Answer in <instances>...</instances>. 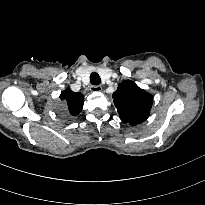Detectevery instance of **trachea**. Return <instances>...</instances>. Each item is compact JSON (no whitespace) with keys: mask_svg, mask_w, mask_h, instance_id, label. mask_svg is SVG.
<instances>
[{"mask_svg":"<svg viewBox=\"0 0 205 205\" xmlns=\"http://www.w3.org/2000/svg\"><path fill=\"white\" fill-rule=\"evenodd\" d=\"M90 82H91V84L94 85V86H97V85L100 84L101 79H100V76L98 75V73L93 72V73L90 75Z\"/></svg>","mask_w":205,"mask_h":205,"instance_id":"3493384b","label":"trachea"}]
</instances>
